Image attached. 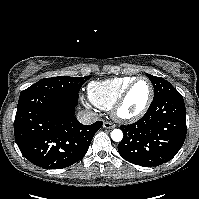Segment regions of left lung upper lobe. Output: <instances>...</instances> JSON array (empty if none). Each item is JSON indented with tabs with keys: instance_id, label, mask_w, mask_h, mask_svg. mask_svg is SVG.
Wrapping results in <instances>:
<instances>
[{
	"instance_id": "obj_1",
	"label": "left lung upper lobe",
	"mask_w": 199,
	"mask_h": 199,
	"mask_svg": "<svg viewBox=\"0 0 199 199\" xmlns=\"http://www.w3.org/2000/svg\"><path fill=\"white\" fill-rule=\"evenodd\" d=\"M146 75L154 86L153 100H156L163 96L179 93L167 80H164L161 77H156L150 74Z\"/></svg>"
}]
</instances>
